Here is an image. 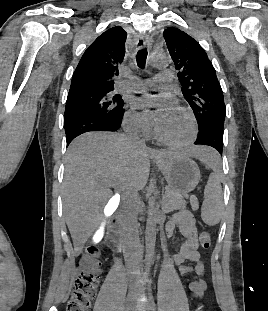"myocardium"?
I'll return each mask as SVG.
<instances>
[{
  "mask_svg": "<svg viewBox=\"0 0 268 311\" xmlns=\"http://www.w3.org/2000/svg\"><path fill=\"white\" fill-rule=\"evenodd\" d=\"M178 110L182 112L189 121V125H190L189 134L181 140H171L162 135L158 127V124L156 123L155 135L159 141H161L162 143L166 145L177 147V148H183V147L189 146L195 140L196 135H197V122H196L194 114L189 109L185 107H178Z\"/></svg>",
  "mask_w": 268,
  "mask_h": 311,
  "instance_id": "obj_1",
  "label": "myocardium"
}]
</instances>
